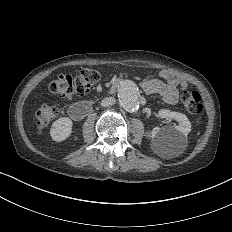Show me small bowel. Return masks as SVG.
I'll use <instances>...</instances> for the list:
<instances>
[{
  "mask_svg": "<svg viewBox=\"0 0 232 232\" xmlns=\"http://www.w3.org/2000/svg\"><path fill=\"white\" fill-rule=\"evenodd\" d=\"M141 86L147 94H159L163 102L173 103L177 100L178 88L172 80L164 82L159 79H145Z\"/></svg>",
  "mask_w": 232,
  "mask_h": 232,
  "instance_id": "obj_1",
  "label": "small bowel"
}]
</instances>
